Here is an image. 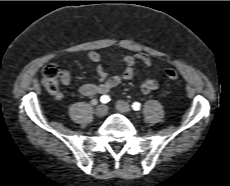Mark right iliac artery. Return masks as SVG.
Returning <instances> with one entry per match:
<instances>
[{
	"label": "right iliac artery",
	"instance_id": "obj_1",
	"mask_svg": "<svg viewBox=\"0 0 230 186\" xmlns=\"http://www.w3.org/2000/svg\"><path fill=\"white\" fill-rule=\"evenodd\" d=\"M100 100L102 103H107L110 101V97L108 95H103Z\"/></svg>",
	"mask_w": 230,
	"mask_h": 186
}]
</instances>
